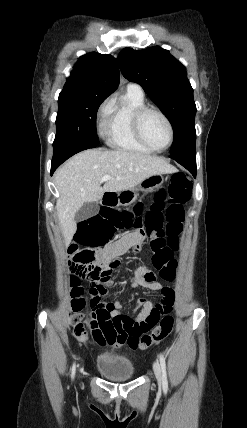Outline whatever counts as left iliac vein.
<instances>
[{"label":"left iliac vein","instance_id":"left-iliac-vein-1","mask_svg":"<svg viewBox=\"0 0 247 428\" xmlns=\"http://www.w3.org/2000/svg\"><path fill=\"white\" fill-rule=\"evenodd\" d=\"M153 371H154V374L156 376L158 386H159V388H161L162 377H161L160 365L158 364V362H154V364H153Z\"/></svg>","mask_w":247,"mask_h":428}]
</instances>
